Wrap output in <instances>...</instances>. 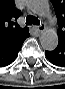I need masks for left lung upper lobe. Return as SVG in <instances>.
<instances>
[{
	"label": "left lung upper lobe",
	"instance_id": "left-lung-upper-lobe-1",
	"mask_svg": "<svg viewBox=\"0 0 65 89\" xmlns=\"http://www.w3.org/2000/svg\"><path fill=\"white\" fill-rule=\"evenodd\" d=\"M58 20V36L65 37V0H51Z\"/></svg>",
	"mask_w": 65,
	"mask_h": 89
}]
</instances>
